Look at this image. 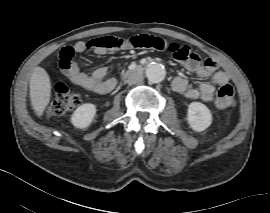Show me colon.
<instances>
[{
  "label": "colon",
  "mask_w": 270,
  "mask_h": 213,
  "mask_svg": "<svg viewBox=\"0 0 270 213\" xmlns=\"http://www.w3.org/2000/svg\"><path fill=\"white\" fill-rule=\"evenodd\" d=\"M127 45L132 48H143L153 51H160L167 48V43L156 36L140 34L130 37L126 41ZM172 56L177 62H182L188 53V47L181 44H176L173 48ZM195 62H201L203 59L198 53L191 54ZM206 62V60H205ZM62 69H70L71 63L68 60L60 61ZM235 91L229 85H223L218 90L214 104L217 108L226 109L234 104ZM79 103V94L66 85L59 84L54 88L53 99L47 109L49 115H62L73 111Z\"/></svg>",
  "instance_id": "5ec220e1"
}]
</instances>
